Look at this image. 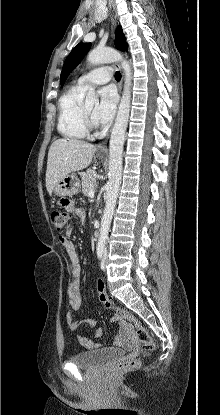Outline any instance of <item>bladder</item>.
I'll use <instances>...</instances> for the list:
<instances>
[{
	"instance_id": "31cf9c89",
	"label": "bladder",
	"mask_w": 220,
	"mask_h": 415,
	"mask_svg": "<svg viewBox=\"0 0 220 415\" xmlns=\"http://www.w3.org/2000/svg\"><path fill=\"white\" fill-rule=\"evenodd\" d=\"M124 350L121 348H111L104 350H86L71 356L70 361L78 367H94L100 364L111 362L121 358Z\"/></svg>"
}]
</instances>
